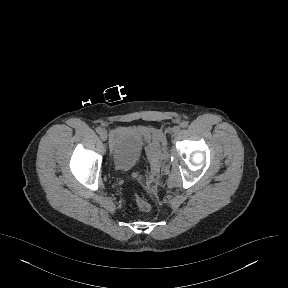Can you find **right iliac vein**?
<instances>
[{
    "label": "right iliac vein",
    "mask_w": 288,
    "mask_h": 288,
    "mask_svg": "<svg viewBox=\"0 0 288 288\" xmlns=\"http://www.w3.org/2000/svg\"><path fill=\"white\" fill-rule=\"evenodd\" d=\"M100 138H101L102 141H106V140H107V133H106V131H102V132L100 133Z\"/></svg>",
    "instance_id": "63e3f726"
}]
</instances>
